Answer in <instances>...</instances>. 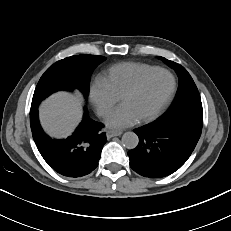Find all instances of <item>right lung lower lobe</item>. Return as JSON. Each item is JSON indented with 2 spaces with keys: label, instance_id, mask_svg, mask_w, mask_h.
Returning a JSON list of instances; mask_svg holds the SVG:
<instances>
[{
  "label": "right lung lower lobe",
  "instance_id": "98d812e1",
  "mask_svg": "<svg viewBox=\"0 0 231 231\" xmlns=\"http://www.w3.org/2000/svg\"><path fill=\"white\" fill-rule=\"evenodd\" d=\"M30 125L40 154L59 174L82 177L97 167L106 135L101 131L103 125L90 119L86 109L83 121L67 139H51L44 133L39 124L37 107H31Z\"/></svg>",
  "mask_w": 231,
  "mask_h": 231
}]
</instances>
